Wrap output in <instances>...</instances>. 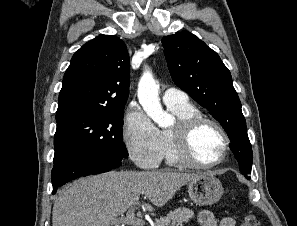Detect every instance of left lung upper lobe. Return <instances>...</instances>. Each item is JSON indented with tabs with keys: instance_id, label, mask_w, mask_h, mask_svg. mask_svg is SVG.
<instances>
[{
	"instance_id": "1",
	"label": "left lung upper lobe",
	"mask_w": 297,
	"mask_h": 226,
	"mask_svg": "<svg viewBox=\"0 0 297 226\" xmlns=\"http://www.w3.org/2000/svg\"><path fill=\"white\" fill-rule=\"evenodd\" d=\"M162 43L173 81L221 123L241 173L248 176L252 146L230 71L215 51L190 32L165 36Z\"/></svg>"
}]
</instances>
